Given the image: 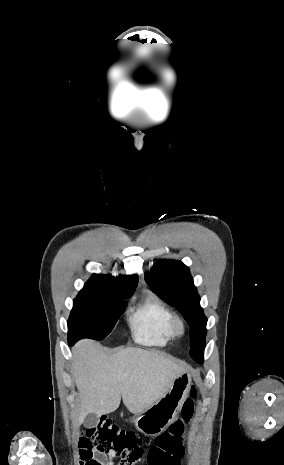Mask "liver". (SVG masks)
I'll return each mask as SVG.
<instances>
[{"label": "liver", "instance_id": "6515ba94", "mask_svg": "<svg viewBox=\"0 0 284 465\" xmlns=\"http://www.w3.org/2000/svg\"><path fill=\"white\" fill-rule=\"evenodd\" d=\"M76 387L79 391L77 425L87 415L97 417L116 411L121 397L130 413H142L164 397L174 379L186 373L185 365L137 347H126L112 357L95 341L83 339L72 349Z\"/></svg>", "mask_w": 284, "mask_h": 465}]
</instances>
